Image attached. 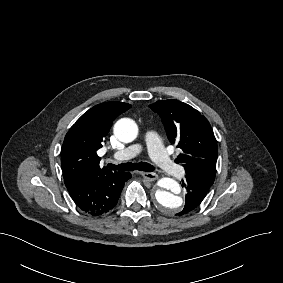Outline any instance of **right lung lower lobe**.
<instances>
[{"label": "right lung lower lobe", "mask_w": 283, "mask_h": 283, "mask_svg": "<svg viewBox=\"0 0 283 283\" xmlns=\"http://www.w3.org/2000/svg\"><path fill=\"white\" fill-rule=\"evenodd\" d=\"M130 178L128 172H110L79 177L66 187L81 211L90 216H101L115 207L124 183Z\"/></svg>", "instance_id": "1"}]
</instances>
